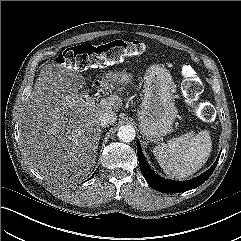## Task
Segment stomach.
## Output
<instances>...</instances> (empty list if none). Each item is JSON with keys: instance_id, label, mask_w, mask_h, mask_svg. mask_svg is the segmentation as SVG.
Here are the masks:
<instances>
[{"instance_id": "0dacf381", "label": "stomach", "mask_w": 241, "mask_h": 241, "mask_svg": "<svg viewBox=\"0 0 241 241\" xmlns=\"http://www.w3.org/2000/svg\"><path fill=\"white\" fill-rule=\"evenodd\" d=\"M131 78L130 71L119 75L122 84ZM143 99L138 111L141 134L148 138H160L168 134L178 116L173 97L174 82L163 67L149 68L143 79Z\"/></svg>"}]
</instances>
